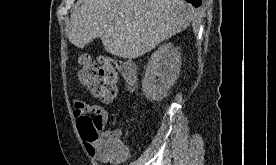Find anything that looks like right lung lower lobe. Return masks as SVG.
Segmentation results:
<instances>
[{"mask_svg": "<svg viewBox=\"0 0 276 165\" xmlns=\"http://www.w3.org/2000/svg\"><path fill=\"white\" fill-rule=\"evenodd\" d=\"M186 1L191 3L195 7H198L202 4V0H186Z\"/></svg>", "mask_w": 276, "mask_h": 165, "instance_id": "1", "label": "right lung lower lobe"}]
</instances>
